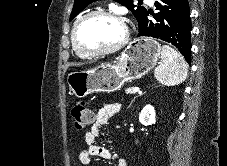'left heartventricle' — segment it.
Here are the masks:
<instances>
[{"instance_id":"left-heart-ventricle-1","label":"left heart ventricle","mask_w":227,"mask_h":166,"mask_svg":"<svg viewBox=\"0 0 227 166\" xmlns=\"http://www.w3.org/2000/svg\"><path fill=\"white\" fill-rule=\"evenodd\" d=\"M122 24L110 17L94 16L85 20L77 30V42L87 50H97L117 44L123 37Z\"/></svg>"}]
</instances>
